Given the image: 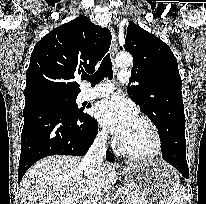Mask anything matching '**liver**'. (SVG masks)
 I'll list each match as a JSON object with an SVG mask.
<instances>
[{
  "instance_id": "liver-1",
  "label": "liver",
  "mask_w": 206,
  "mask_h": 204,
  "mask_svg": "<svg viewBox=\"0 0 206 204\" xmlns=\"http://www.w3.org/2000/svg\"><path fill=\"white\" fill-rule=\"evenodd\" d=\"M135 162H127L128 165ZM87 166L80 157L56 155L36 162L20 182L21 204H84L89 190ZM117 180L115 167L103 163L101 191Z\"/></svg>"
}]
</instances>
